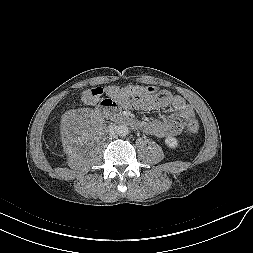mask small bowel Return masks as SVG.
<instances>
[{"label": "small bowel", "mask_w": 253, "mask_h": 253, "mask_svg": "<svg viewBox=\"0 0 253 253\" xmlns=\"http://www.w3.org/2000/svg\"><path fill=\"white\" fill-rule=\"evenodd\" d=\"M120 103L125 108L160 109L170 107L172 118L170 120L155 119L142 122L140 128L149 135L163 139L179 135L185 126V121L193 117V109L178 95L159 91L154 94H146L132 100L121 101L110 97H101L99 104L107 109L118 110Z\"/></svg>", "instance_id": "c3829d8e"}]
</instances>
